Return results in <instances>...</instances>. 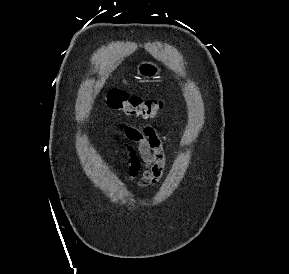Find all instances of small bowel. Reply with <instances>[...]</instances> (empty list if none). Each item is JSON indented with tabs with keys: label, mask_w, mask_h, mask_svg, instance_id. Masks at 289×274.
Listing matches in <instances>:
<instances>
[{
	"label": "small bowel",
	"mask_w": 289,
	"mask_h": 274,
	"mask_svg": "<svg viewBox=\"0 0 289 274\" xmlns=\"http://www.w3.org/2000/svg\"><path fill=\"white\" fill-rule=\"evenodd\" d=\"M123 135L126 139L123 147L127 155V169L123 177L126 180L139 177V187L157 185L164 174L166 154L156 129L151 125L140 128L125 126Z\"/></svg>",
	"instance_id": "1"
}]
</instances>
